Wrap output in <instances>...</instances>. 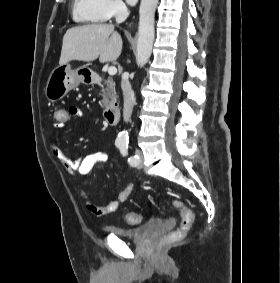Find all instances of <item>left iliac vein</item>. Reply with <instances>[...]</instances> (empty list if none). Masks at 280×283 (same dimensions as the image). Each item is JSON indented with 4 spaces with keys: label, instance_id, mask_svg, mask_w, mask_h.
<instances>
[{
    "label": "left iliac vein",
    "instance_id": "1",
    "mask_svg": "<svg viewBox=\"0 0 280 283\" xmlns=\"http://www.w3.org/2000/svg\"><path fill=\"white\" fill-rule=\"evenodd\" d=\"M136 155L139 157V160H138V163L136 164V166L138 168H142V160H143L142 152L140 150H136Z\"/></svg>",
    "mask_w": 280,
    "mask_h": 283
}]
</instances>
